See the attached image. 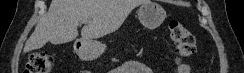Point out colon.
<instances>
[{"label":"colon","mask_w":244,"mask_h":73,"mask_svg":"<svg viewBox=\"0 0 244 73\" xmlns=\"http://www.w3.org/2000/svg\"><path fill=\"white\" fill-rule=\"evenodd\" d=\"M170 38L174 43L173 53L175 62L179 64L182 59L188 58L196 50L194 35L179 21L169 23ZM54 65L51 55L43 52H34L25 65L24 73H49Z\"/></svg>","instance_id":"5ec220e1"}]
</instances>
